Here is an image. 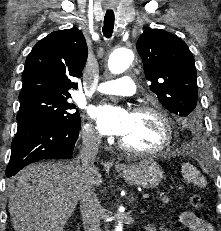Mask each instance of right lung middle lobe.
Segmentation results:
<instances>
[{
  "label": "right lung middle lobe",
  "mask_w": 221,
  "mask_h": 231,
  "mask_svg": "<svg viewBox=\"0 0 221 231\" xmlns=\"http://www.w3.org/2000/svg\"><path fill=\"white\" fill-rule=\"evenodd\" d=\"M71 95H37L20 99L17 115L18 128L31 121L49 120L65 125L78 127L81 125L79 112L70 103Z\"/></svg>",
  "instance_id": "right-lung-middle-lobe-1"
}]
</instances>
